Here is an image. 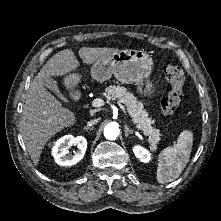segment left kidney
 <instances>
[{
    "label": "left kidney",
    "mask_w": 221,
    "mask_h": 221,
    "mask_svg": "<svg viewBox=\"0 0 221 221\" xmlns=\"http://www.w3.org/2000/svg\"><path fill=\"white\" fill-rule=\"evenodd\" d=\"M133 152L141 162L148 163L151 160V153L139 145L133 147Z\"/></svg>",
    "instance_id": "obj_1"
}]
</instances>
